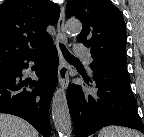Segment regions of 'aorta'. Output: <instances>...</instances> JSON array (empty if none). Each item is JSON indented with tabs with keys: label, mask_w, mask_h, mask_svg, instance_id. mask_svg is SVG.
Listing matches in <instances>:
<instances>
[{
	"label": "aorta",
	"mask_w": 144,
	"mask_h": 137,
	"mask_svg": "<svg viewBox=\"0 0 144 137\" xmlns=\"http://www.w3.org/2000/svg\"><path fill=\"white\" fill-rule=\"evenodd\" d=\"M67 33L76 36L82 30L79 20L70 19L65 24ZM52 118L59 137H70L72 133L71 116L67 104L66 92L62 88H57L52 98Z\"/></svg>",
	"instance_id": "1"
}]
</instances>
